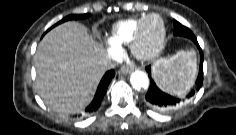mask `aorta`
<instances>
[{
    "label": "aorta",
    "instance_id": "obj_1",
    "mask_svg": "<svg viewBox=\"0 0 236 135\" xmlns=\"http://www.w3.org/2000/svg\"><path fill=\"white\" fill-rule=\"evenodd\" d=\"M130 82L134 89H147L149 86V79L146 73L142 71H135L131 74Z\"/></svg>",
    "mask_w": 236,
    "mask_h": 135
}]
</instances>
